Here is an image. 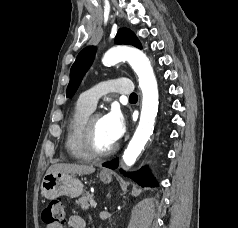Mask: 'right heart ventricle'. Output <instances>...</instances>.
<instances>
[{
  "label": "right heart ventricle",
  "mask_w": 238,
  "mask_h": 228,
  "mask_svg": "<svg viewBox=\"0 0 238 228\" xmlns=\"http://www.w3.org/2000/svg\"><path fill=\"white\" fill-rule=\"evenodd\" d=\"M92 111L78 99L67 120L65 148L68 154L78 161H88L92 158L82 145L83 126Z\"/></svg>",
  "instance_id": "1"
}]
</instances>
